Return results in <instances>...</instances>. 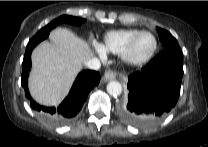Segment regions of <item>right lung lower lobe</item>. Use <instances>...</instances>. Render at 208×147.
Returning a JSON list of instances; mask_svg holds the SVG:
<instances>
[{"label": "right lung lower lobe", "instance_id": "98d812e1", "mask_svg": "<svg viewBox=\"0 0 208 147\" xmlns=\"http://www.w3.org/2000/svg\"><path fill=\"white\" fill-rule=\"evenodd\" d=\"M49 34L32 38L26 47L23 63H22V86L25 90L26 97L31 101V107L40 112L41 115L53 124H65L71 121L81 110L83 103L86 101L90 90L99 84L100 75L96 71L86 70L81 72L65 100L55 109L40 106L35 103L28 91L27 79L31 69V52L33 48L42 40L48 37Z\"/></svg>", "mask_w": 208, "mask_h": 147}]
</instances>
